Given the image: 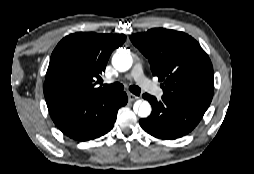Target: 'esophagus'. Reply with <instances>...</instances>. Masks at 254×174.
Masks as SVG:
<instances>
[{"label": "esophagus", "instance_id": "1", "mask_svg": "<svg viewBox=\"0 0 254 174\" xmlns=\"http://www.w3.org/2000/svg\"><path fill=\"white\" fill-rule=\"evenodd\" d=\"M138 99H139L138 96H136V95H134V94H132V93H128V100H129L130 102H133V101L138 100Z\"/></svg>", "mask_w": 254, "mask_h": 174}]
</instances>
